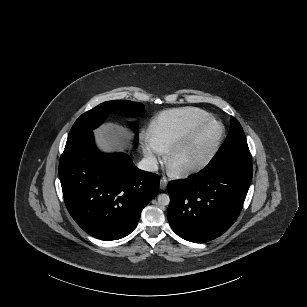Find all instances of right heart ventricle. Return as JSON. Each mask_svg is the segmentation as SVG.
<instances>
[{"instance_id": "e07e8e85", "label": "right heart ventricle", "mask_w": 307, "mask_h": 307, "mask_svg": "<svg viewBox=\"0 0 307 307\" xmlns=\"http://www.w3.org/2000/svg\"><path fill=\"white\" fill-rule=\"evenodd\" d=\"M212 119L210 113L198 108L162 111L151 121L152 141L161 151H170Z\"/></svg>"}]
</instances>
